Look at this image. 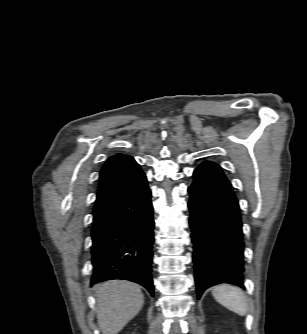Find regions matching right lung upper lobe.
Returning <instances> with one entry per match:
<instances>
[{
    "instance_id": "1",
    "label": "right lung upper lobe",
    "mask_w": 307,
    "mask_h": 334,
    "mask_svg": "<svg viewBox=\"0 0 307 334\" xmlns=\"http://www.w3.org/2000/svg\"><path fill=\"white\" fill-rule=\"evenodd\" d=\"M143 174L133 157L126 154L110 157L100 172L96 203L124 189Z\"/></svg>"
}]
</instances>
